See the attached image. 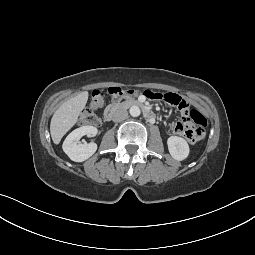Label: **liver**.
Wrapping results in <instances>:
<instances>
[{"label": "liver", "instance_id": "1", "mask_svg": "<svg viewBox=\"0 0 255 255\" xmlns=\"http://www.w3.org/2000/svg\"><path fill=\"white\" fill-rule=\"evenodd\" d=\"M87 100L88 94L83 92L64 102L54 112L50 123V133L54 144H59L62 137L75 125Z\"/></svg>", "mask_w": 255, "mask_h": 255}]
</instances>
